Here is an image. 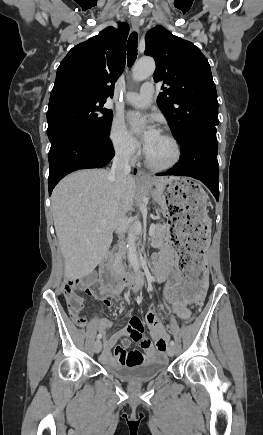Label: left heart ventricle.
<instances>
[{
  "mask_svg": "<svg viewBox=\"0 0 263 435\" xmlns=\"http://www.w3.org/2000/svg\"><path fill=\"white\" fill-rule=\"evenodd\" d=\"M147 154L155 164H166L170 162L175 155V150L172 143L161 134L147 151Z\"/></svg>",
  "mask_w": 263,
  "mask_h": 435,
  "instance_id": "1",
  "label": "left heart ventricle"
}]
</instances>
